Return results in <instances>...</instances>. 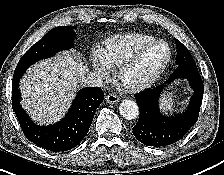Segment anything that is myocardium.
Here are the masks:
<instances>
[{
    "label": "myocardium",
    "instance_id": "myocardium-1",
    "mask_svg": "<svg viewBox=\"0 0 224 175\" xmlns=\"http://www.w3.org/2000/svg\"><path fill=\"white\" fill-rule=\"evenodd\" d=\"M157 45H163L166 49V55L162 61V63L158 66V68L152 72L150 75L139 79V80H129V73L135 68V66L139 63L143 55L152 47ZM171 49L167 42L164 40L155 39L142 47H140L130 58L124 61L118 69V80L122 84V86L128 91H140L145 88H148L153 83H155L158 78L163 74L166 70L170 59H171Z\"/></svg>",
    "mask_w": 224,
    "mask_h": 175
}]
</instances>
